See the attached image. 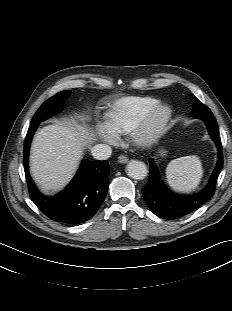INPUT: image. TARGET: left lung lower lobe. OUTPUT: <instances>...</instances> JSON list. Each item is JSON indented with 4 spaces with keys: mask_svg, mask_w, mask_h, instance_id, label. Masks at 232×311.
Here are the masks:
<instances>
[{
    "mask_svg": "<svg viewBox=\"0 0 232 311\" xmlns=\"http://www.w3.org/2000/svg\"><path fill=\"white\" fill-rule=\"evenodd\" d=\"M192 116L206 123L208 132L218 148V161L207 186L200 193L182 196L169 191L163 185L153 159L149 160L150 176L147 185L142 189V194L150 210L163 219H178L206 203L214 195L215 185L223 166L222 144L214 115L209 112Z\"/></svg>",
    "mask_w": 232,
    "mask_h": 311,
    "instance_id": "obj_1",
    "label": "left lung lower lobe"
}]
</instances>
